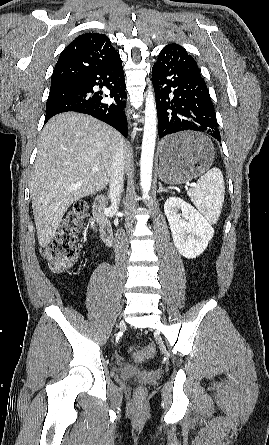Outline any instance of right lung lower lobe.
Wrapping results in <instances>:
<instances>
[{
	"instance_id": "1",
	"label": "right lung lower lobe",
	"mask_w": 269,
	"mask_h": 445,
	"mask_svg": "<svg viewBox=\"0 0 269 445\" xmlns=\"http://www.w3.org/2000/svg\"><path fill=\"white\" fill-rule=\"evenodd\" d=\"M95 85L101 88L105 86L116 103H102V94L93 91ZM74 86L75 90L68 99L59 101L46 110L44 124L56 114L75 111L104 121L127 137L125 102L122 101V98H126V87L120 57L87 73Z\"/></svg>"
}]
</instances>
